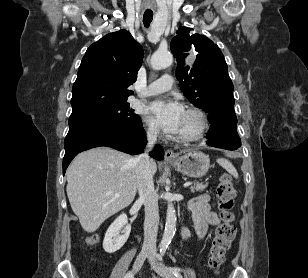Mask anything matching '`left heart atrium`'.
<instances>
[{
	"instance_id": "left-heart-atrium-1",
	"label": "left heart atrium",
	"mask_w": 308,
	"mask_h": 278,
	"mask_svg": "<svg viewBox=\"0 0 308 278\" xmlns=\"http://www.w3.org/2000/svg\"><path fill=\"white\" fill-rule=\"evenodd\" d=\"M183 106L176 101H155L147 109V114L157 125L167 132L177 133L184 116Z\"/></svg>"
}]
</instances>
